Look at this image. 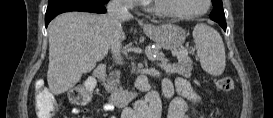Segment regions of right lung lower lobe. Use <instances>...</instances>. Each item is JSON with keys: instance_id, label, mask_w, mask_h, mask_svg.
Wrapping results in <instances>:
<instances>
[{"instance_id": "obj_1", "label": "right lung lower lobe", "mask_w": 273, "mask_h": 118, "mask_svg": "<svg viewBox=\"0 0 273 118\" xmlns=\"http://www.w3.org/2000/svg\"><path fill=\"white\" fill-rule=\"evenodd\" d=\"M69 11L105 13L106 8L103 3L94 0H49L45 15L46 27L55 16Z\"/></svg>"}]
</instances>
